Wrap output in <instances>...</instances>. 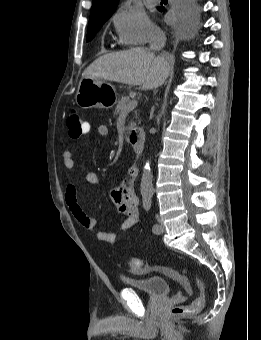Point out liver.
I'll return each mask as SVG.
<instances>
[{
    "mask_svg": "<svg viewBox=\"0 0 261 340\" xmlns=\"http://www.w3.org/2000/svg\"><path fill=\"white\" fill-rule=\"evenodd\" d=\"M169 74V62L145 48L105 54L97 58L83 72V77L115 81L127 85H140L143 89H156Z\"/></svg>",
    "mask_w": 261,
    "mask_h": 340,
    "instance_id": "1",
    "label": "liver"
}]
</instances>
